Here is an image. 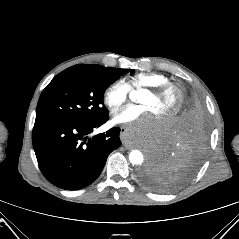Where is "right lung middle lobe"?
I'll return each instance as SVG.
<instances>
[{
  "instance_id": "right-lung-middle-lobe-1",
  "label": "right lung middle lobe",
  "mask_w": 239,
  "mask_h": 239,
  "mask_svg": "<svg viewBox=\"0 0 239 239\" xmlns=\"http://www.w3.org/2000/svg\"><path fill=\"white\" fill-rule=\"evenodd\" d=\"M130 69L86 71L70 67L43 90L36 109L38 120L94 122L107 115L103 103L106 88Z\"/></svg>"
}]
</instances>
